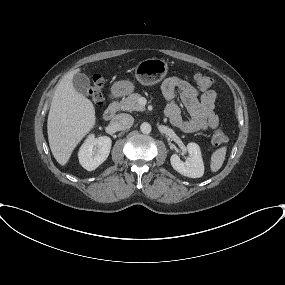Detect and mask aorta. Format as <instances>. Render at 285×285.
I'll list each match as a JSON object with an SVG mask.
<instances>
[{"label":"aorta","mask_w":285,"mask_h":285,"mask_svg":"<svg viewBox=\"0 0 285 285\" xmlns=\"http://www.w3.org/2000/svg\"><path fill=\"white\" fill-rule=\"evenodd\" d=\"M151 125L147 122H144L140 126V130L143 134H149L151 132Z\"/></svg>","instance_id":"762f6f07"}]
</instances>
